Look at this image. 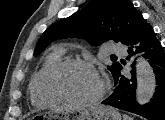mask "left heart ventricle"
I'll list each match as a JSON object with an SVG mask.
<instances>
[{"mask_svg":"<svg viewBox=\"0 0 165 120\" xmlns=\"http://www.w3.org/2000/svg\"><path fill=\"white\" fill-rule=\"evenodd\" d=\"M63 91L75 99H88L96 96L102 88L99 76L84 67L68 69L60 80Z\"/></svg>","mask_w":165,"mask_h":120,"instance_id":"obj_1","label":"left heart ventricle"}]
</instances>
